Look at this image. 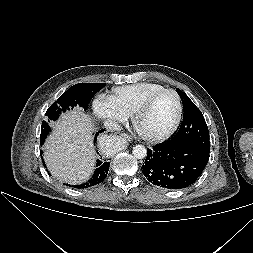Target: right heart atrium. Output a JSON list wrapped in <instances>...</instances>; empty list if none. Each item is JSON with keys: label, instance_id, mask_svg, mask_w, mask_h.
Returning a JSON list of instances; mask_svg holds the SVG:
<instances>
[{"label": "right heart atrium", "instance_id": "1", "mask_svg": "<svg viewBox=\"0 0 253 253\" xmlns=\"http://www.w3.org/2000/svg\"><path fill=\"white\" fill-rule=\"evenodd\" d=\"M95 116L104 122H124L126 117L117 109L110 97L98 96L93 101Z\"/></svg>", "mask_w": 253, "mask_h": 253}]
</instances>
